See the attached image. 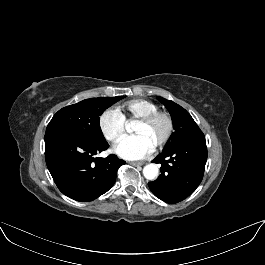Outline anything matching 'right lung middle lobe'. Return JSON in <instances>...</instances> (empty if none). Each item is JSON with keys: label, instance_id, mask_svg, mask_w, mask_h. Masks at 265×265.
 <instances>
[{"label": "right lung middle lobe", "instance_id": "dd1d6c3e", "mask_svg": "<svg viewBox=\"0 0 265 265\" xmlns=\"http://www.w3.org/2000/svg\"><path fill=\"white\" fill-rule=\"evenodd\" d=\"M124 96L90 98L59 110L49 122L46 132L70 131L94 140L104 139L100 128L101 114Z\"/></svg>", "mask_w": 265, "mask_h": 265}]
</instances>
